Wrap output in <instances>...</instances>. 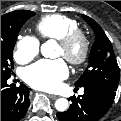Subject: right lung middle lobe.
I'll return each mask as SVG.
<instances>
[{
    "label": "right lung middle lobe",
    "instance_id": "right-lung-middle-lobe-1",
    "mask_svg": "<svg viewBox=\"0 0 121 121\" xmlns=\"http://www.w3.org/2000/svg\"><path fill=\"white\" fill-rule=\"evenodd\" d=\"M34 14L32 11L25 10L20 15L1 23V77H10L16 38L24 23Z\"/></svg>",
    "mask_w": 121,
    "mask_h": 121
}]
</instances>
